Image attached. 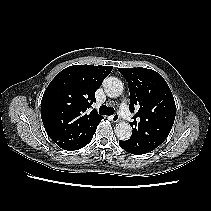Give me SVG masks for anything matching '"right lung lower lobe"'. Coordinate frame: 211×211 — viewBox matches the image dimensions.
I'll list each match as a JSON object with an SVG mask.
<instances>
[{
	"mask_svg": "<svg viewBox=\"0 0 211 211\" xmlns=\"http://www.w3.org/2000/svg\"><path fill=\"white\" fill-rule=\"evenodd\" d=\"M93 135H94V134H93ZM93 135L91 136V138L89 139V141L87 142V144L91 141V139H92ZM87 144H86V145H87ZM86 145H85V146H86Z\"/></svg>",
	"mask_w": 211,
	"mask_h": 211,
	"instance_id": "right-lung-lower-lobe-1",
	"label": "right lung lower lobe"
}]
</instances>
